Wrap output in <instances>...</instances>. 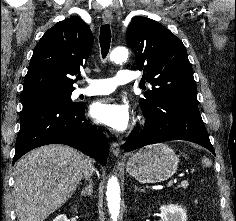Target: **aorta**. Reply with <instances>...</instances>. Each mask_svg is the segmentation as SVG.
<instances>
[{"label": "aorta", "instance_id": "obj_1", "mask_svg": "<svg viewBox=\"0 0 236 221\" xmlns=\"http://www.w3.org/2000/svg\"><path fill=\"white\" fill-rule=\"evenodd\" d=\"M128 58V49L117 47L110 53V60L114 62L125 61ZM108 209L113 221H117L120 211V186L117 177L112 176L107 183Z\"/></svg>", "mask_w": 236, "mask_h": 221}]
</instances>
